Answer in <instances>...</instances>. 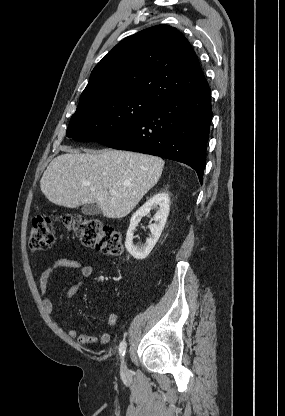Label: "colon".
Here are the masks:
<instances>
[{
    "instance_id": "1",
    "label": "colon",
    "mask_w": 285,
    "mask_h": 416,
    "mask_svg": "<svg viewBox=\"0 0 285 416\" xmlns=\"http://www.w3.org/2000/svg\"><path fill=\"white\" fill-rule=\"evenodd\" d=\"M50 217H37L33 220L28 245L32 252L48 250L56 237L55 222ZM59 221L88 247L110 255L121 256L123 243L120 233L112 226L103 224L99 219L83 216L65 215Z\"/></svg>"
}]
</instances>
